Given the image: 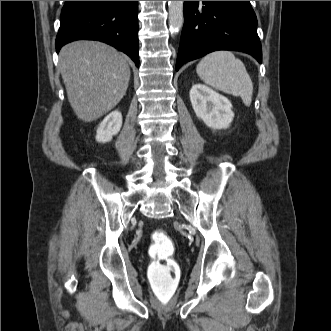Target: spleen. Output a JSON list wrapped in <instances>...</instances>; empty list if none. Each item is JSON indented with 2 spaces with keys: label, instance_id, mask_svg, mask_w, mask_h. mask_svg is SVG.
I'll return each mask as SVG.
<instances>
[{
  "label": "spleen",
  "instance_id": "spleen-1",
  "mask_svg": "<svg viewBox=\"0 0 331 331\" xmlns=\"http://www.w3.org/2000/svg\"><path fill=\"white\" fill-rule=\"evenodd\" d=\"M198 76L213 88L240 96L246 106L251 105L253 83L243 62L229 51H215L204 56L196 67Z\"/></svg>",
  "mask_w": 331,
  "mask_h": 331
}]
</instances>
